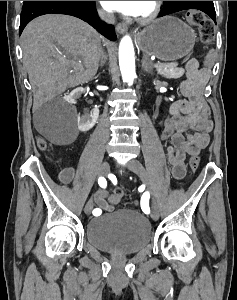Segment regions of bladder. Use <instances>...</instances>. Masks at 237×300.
<instances>
[{"instance_id":"31cf9c89","label":"bladder","mask_w":237,"mask_h":300,"mask_svg":"<svg viewBox=\"0 0 237 300\" xmlns=\"http://www.w3.org/2000/svg\"><path fill=\"white\" fill-rule=\"evenodd\" d=\"M87 241L100 251L112 254H136L151 241L149 220L135 210L123 209L90 219Z\"/></svg>"}]
</instances>
